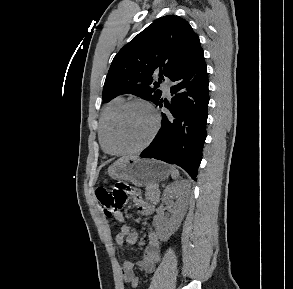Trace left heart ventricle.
<instances>
[{
    "label": "left heart ventricle",
    "instance_id": "1",
    "mask_svg": "<svg viewBox=\"0 0 293 289\" xmlns=\"http://www.w3.org/2000/svg\"><path fill=\"white\" fill-rule=\"evenodd\" d=\"M154 125L151 111L143 105H133L124 110L116 119L111 143L115 149H132L143 144Z\"/></svg>",
    "mask_w": 293,
    "mask_h": 289
}]
</instances>
